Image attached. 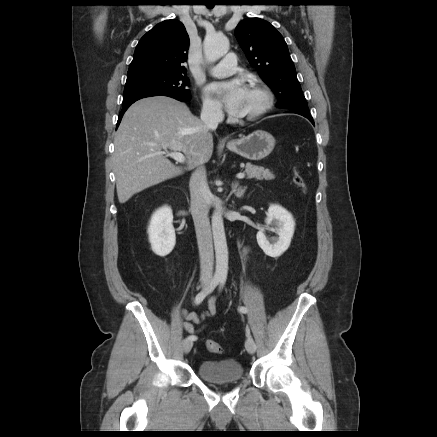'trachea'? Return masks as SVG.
<instances>
[{"mask_svg":"<svg viewBox=\"0 0 437 437\" xmlns=\"http://www.w3.org/2000/svg\"><path fill=\"white\" fill-rule=\"evenodd\" d=\"M213 7V5H208V8H212Z\"/></svg>","mask_w":437,"mask_h":437,"instance_id":"obj_1","label":"trachea"}]
</instances>
